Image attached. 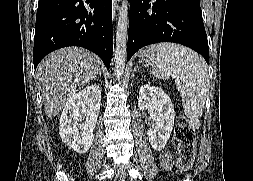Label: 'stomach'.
<instances>
[{"label": "stomach", "mask_w": 253, "mask_h": 181, "mask_svg": "<svg viewBox=\"0 0 253 181\" xmlns=\"http://www.w3.org/2000/svg\"><path fill=\"white\" fill-rule=\"evenodd\" d=\"M152 46L151 47H147L145 49H143L140 54V60L146 63H150V52H151Z\"/></svg>", "instance_id": "obj_1"}]
</instances>
